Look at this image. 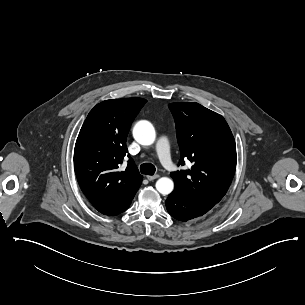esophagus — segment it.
Wrapping results in <instances>:
<instances>
[{
    "mask_svg": "<svg viewBox=\"0 0 305 305\" xmlns=\"http://www.w3.org/2000/svg\"><path fill=\"white\" fill-rule=\"evenodd\" d=\"M159 177H160V175H152V176L148 175V176H147V179H148L149 181H152V180H155V179H157V178H159Z\"/></svg>",
    "mask_w": 305,
    "mask_h": 305,
    "instance_id": "34e87169",
    "label": "esophagus"
}]
</instances>
